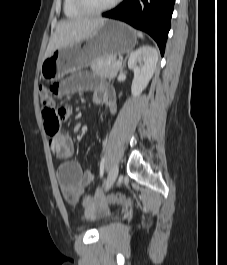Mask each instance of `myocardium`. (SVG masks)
<instances>
[{
    "label": "myocardium",
    "mask_w": 227,
    "mask_h": 265,
    "mask_svg": "<svg viewBox=\"0 0 227 265\" xmlns=\"http://www.w3.org/2000/svg\"><path fill=\"white\" fill-rule=\"evenodd\" d=\"M122 0H113L109 4L100 7V8H92L90 7L85 0H74L75 6L84 14H101L113 9L115 6L119 4Z\"/></svg>",
    "instance_id": "myocardium-1"
}]
</instances>
